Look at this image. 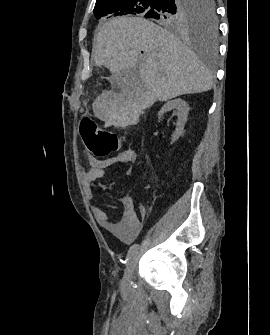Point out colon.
Returning a JSON list of instances; mask_svg holds the SVG:
<instances>
[{
  "instance_id": "1",
  "label": "colon",
  "mask_w": 270,
  "mask_h": 335,
  "mask_svg": "<svg viewBox=\"0 0 270 335\" xmlns=\"http://www.w3.org/2000/svg\"><path fill=\"white\" fill-rule=\"evenodd\" d=\"M81 122L82 137L92 156L106 158L119 151L125 140L123 135L100 128L87 116H82Z\"/></svg>"
}]
</instances>
